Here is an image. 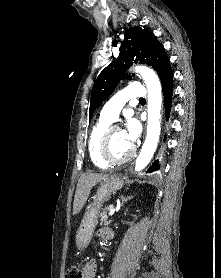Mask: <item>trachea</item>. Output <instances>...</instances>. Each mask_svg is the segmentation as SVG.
<instances>
[{
  "instance_id": "1",
  "label": "trachea",
  "mask_w": 221,
  "mask_h": 278,
  "mask_svg": "<svg viewBox=\"0 0 221 278\" xmlns=\"http://www.w3.org/2000/svg\"><path fill=\"white\" fill-rule=\"evenodd\" d=\"M139 101H145V99L144 98H140Z\"/></svg>"
}]
</instances>
